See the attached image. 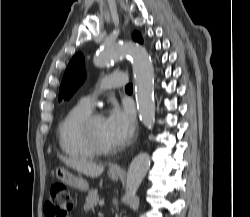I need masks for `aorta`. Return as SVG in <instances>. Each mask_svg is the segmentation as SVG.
Masks as SVG:
<instances>
[{
  "label": "aorta",
  "instance_id": "762f6f07",
  "mask_svg": "<svg viewBox=\"0 0 250 217\" xmlns=\"http://www.w3.org/2000/svg\"><path fill=\"white\" fill-rule=\"evenodd\" d=\"M126 56L132 62L136 103L140 120L145 126L152 127L155 121L154 68L146 49L134 43L105 45L94 58V63L96 66L103 67L110 61ZM149 166L150 156L146 153H140L132 160L126 178L125 203H128L130 198L136 194Z\"/></svg>",
  "mask_w": 250,
  "mask_h": 217
}]
</instances>
